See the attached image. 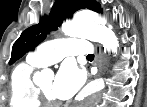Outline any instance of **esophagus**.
Listing matches in <instances>:
<instances>
[{
    "label": "esophagus",
    "mask_w": 147,
    "mask_h": 107,
    "mask_svg": "<svg viewBox=\"0 0 147 107\" xmlns=\"http://www.w3.org/2000/svg\"><path fill=\"white\" fill-rule=\"evenodd\" d=\"M95 61L98 67V75H100L104 69L105 60L101 46L97 43L95 44Z\"/></svg>",
    "instance_id": "esophagus-1"
}]
</instances>
